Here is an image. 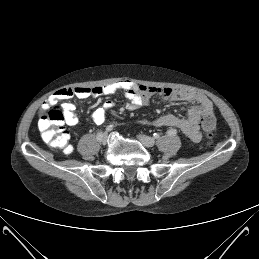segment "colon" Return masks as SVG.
I'll return each instance as SVG.
<instances>
[{
	"mask_svg": "<svg viewBox=\"0 0 259 259\" xmlns=\"http://www.w3.org/2000/svg\"><path fill=\"white\" fill-rule=\"evenodd\" d=\"M65 116L61 107L55 106L44 113L38 122V128L43 140L52 147L59 148L65 153L72 151L70 135L64 128ZM203 129L211 137L216 127V119L213 115H206L201 121Z\"/></svg>",
	"mask_w": 259,
	"mask_h": 259,
	"instance_id": "colon-1",
	"label": "colon"
}]
</instances>
